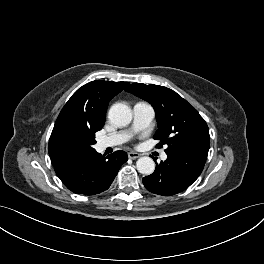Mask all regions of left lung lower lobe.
<instances>
[{"instance_id": "obj_1", "label": "left lung lower lobe", "mask_w": 264, "mask_h": 264, "mask_svg": "<svg viewBox=\"0 0 264 264\" xmlns=\"http://www.w3.org/2000/svg\"><path fill=\"white\" fill-rule=\"evenodd\" d=\"M154 173L143 178L147 190L154 194L171 196L187 189L201 174L206 157L187 149L178 148L166 153Z\"/></svg>"}]
</instances>
